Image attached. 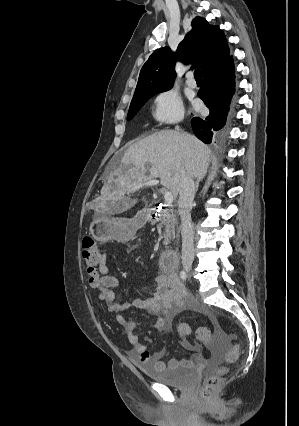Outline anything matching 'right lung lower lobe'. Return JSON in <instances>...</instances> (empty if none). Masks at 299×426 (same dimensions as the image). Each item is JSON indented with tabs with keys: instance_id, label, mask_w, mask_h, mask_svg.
Listing matches in <instances>:
<instances>
[{
	"instance_id": "obj_1",
	"label": "right lung lower lobe",
	"mask_w": 299,
	"mask_h": 426,
	"mask_svg": "<svg viewBox=\"0 0 299 426\" xmlns=\"http://www.w3.org/2000/svg\"><path fill=\"white\" fill-rule=\"evenodd\" d=\"M234 92V65L231 56L223 65L203 75V87L198 96L209 108L210 114L204 119L194 117L191 125L195 135L204 143H211L224 129Z\"/></svg>"
}]
</instances>
